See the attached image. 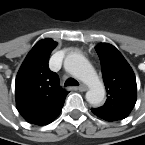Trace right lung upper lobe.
Here are the masks:
<instances>
[{
	"label": "right lung upper lobe",
	"instance_id": "1",
	"mask_svg": "<svg viewBox=\"0 0 145 145\" xmlns=\"http://www.w3.org/2000/svg\"><path fill=\"white\" fill-rule=\"evenodd\" d=\"M57 43L43 39L31 49L17 74L16 105L29 123L45 125L61 112L68 92L59 86L58 75L48 67L49 56Z\"/></svg>",
	"mask_w": 145,
	"mask_h": 145
}]
</instances>
